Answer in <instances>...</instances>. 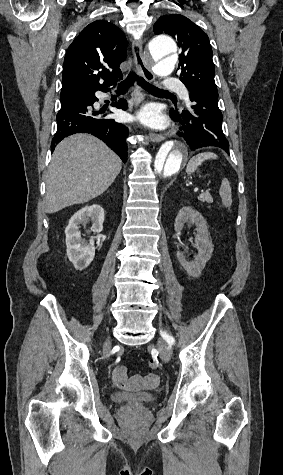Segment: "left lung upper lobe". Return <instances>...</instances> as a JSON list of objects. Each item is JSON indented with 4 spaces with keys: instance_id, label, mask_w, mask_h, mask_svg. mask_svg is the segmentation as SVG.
Segmentation results:
<instances>
[{
    "instance_id": "5c2ea615",
    "label": "left lung upper lobe",
    "mask_w": 283,
    "mask_h": 475,
    "mask_svg": "<svg viewBox=\"0 0 283 475\" xmlns=\"http://www.w3.org/2000/svg\"><path fill=\"white\" fill-rule=\"evenodd\" d=\"M155 34H169L178 41L180 80L188 90L217 91L212 49L206 33L179 14L161 16L153 27Z\"/></svg>"
}]
</instances>
